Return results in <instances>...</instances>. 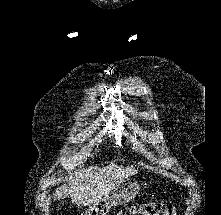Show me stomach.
<instances>
[{"label":"stomach","mask_w":221,"mask_h":215,"mask_svg":"<svg viewBox=\"0 0 221 215\" xmlns=\"http://www.w3.org/2000/svg\"><path fill=\"white\" fill-rule=\"evenodd\" d=\"M140 190L137 181L126 178L120 181L104 198L85 210V215H107L113 206L123 205L133 200Z\"/></svg>","instance_id":"stomach-1"}]
</instances>
